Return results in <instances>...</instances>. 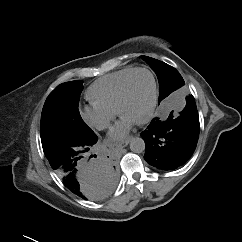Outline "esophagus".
I'll list each match as a JSON object with an SVG mask.
<instances>
[{
    "mask_svg": "<svg viewBox=\"0 0 242 242\" xmlns=\"http://www.w3.org/2000/svg\"><path fill=\"white\" fill-rule=\"evenodd\" d=\"M129 142H130V138H128V139L118 143V147L124 148V147H126L129 144Z\"/></svg>",
    "mask_w": 242,
    "mask_h": 242,
    "instance_id": "1",
    "label": "esophagus"
}]
</instances>
